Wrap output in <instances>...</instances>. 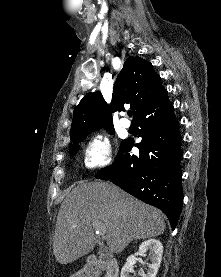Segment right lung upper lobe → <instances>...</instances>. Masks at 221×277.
<instances>
[{
	"instance_id": "1",
	"label": "right lung upper lobe",
	"mask_w": 221,
	"mask_h": 277,
	"mask_svg": "<svg viewBox=\"0 0 221 277\" xmlns=\"http://www.w3.org/2000/svg\"><path fill=\"white\" fill-rule=\"evenodd\" d=\"M165 89L152 64L140 57H129L114 84L112 102L108 105L97 92L86 94L75 107L71 136L94 127L112 125L111 113L130 104L133 117Z\"/></svg>"
}]
</instances>
